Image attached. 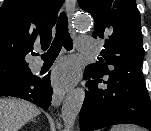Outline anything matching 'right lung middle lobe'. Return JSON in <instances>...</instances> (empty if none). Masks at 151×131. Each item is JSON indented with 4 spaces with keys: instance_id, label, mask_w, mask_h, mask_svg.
<instances>
[{
    "instance_id": "obj_1",
    "label": "right lung middle lobe",
    "mask_w": 151,
    "mask_h": 131,
    "mask_svg": "<svg viewBox=\"0 0 151 131\" xmlns=\"http://www.w3.org/2000/svg\"><path fill=\"white\" fill-rule=\"evenodd\" d=\"M24 78H26V77L25 76H17V77H15L13 79L8 80L5 83H0V89H4L5 87H7L9 85H12V84L24 79Z\"/></svg>"
}]
</instances>
